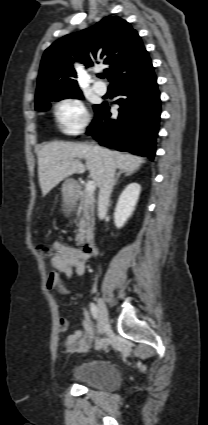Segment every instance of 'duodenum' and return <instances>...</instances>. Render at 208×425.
<instances>
[{"label":"duodenum","instance_id":"duodenum-1","mask_svg":"<svg viewBox=\"0 0 208 425\" xmlns=\"http://www.w3.org/2000/svg\"><path fill=\"white\" fill-rule=\"evenodd\" d=\"M96 245L92 237H87L82 244V251L87 255H93L96 252Z\"/></svg>","mask_w":208,"mask_h":425}]
</instances>
